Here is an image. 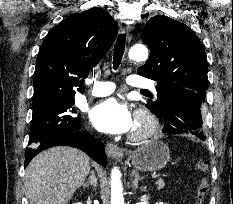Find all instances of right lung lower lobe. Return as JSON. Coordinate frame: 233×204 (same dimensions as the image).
<instances>
[{
    "mask_svg": "<svg viewBox=\"0 0 233 204\" xmlns=\"http://www.w3.org/2000/svg\"><path fill=\"white\" fill-rule=\"evenodd\" d=\"M53 146L75 147L87 153L92 159L97 161L99 164H107L106 154L104 152V144L95 139L89 132H84L78 129L60 132L47 139L34 150L26 151L25 167L39 152Z\"/></svg>",
    "mask_w": 233,
    "mask_h": 204,
    "instance_id": "obj_1",
    "label": "right lung lower lobe"
}]
</instances>
